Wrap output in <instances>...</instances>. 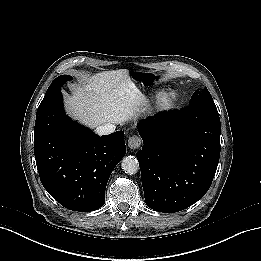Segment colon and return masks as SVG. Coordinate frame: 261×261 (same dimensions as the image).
<instances>
[{
	"mask_svg": "<svg viewBox=\"0 0 261 261\" xmlns=\"http://www.w3.org/2000/svg\"><path fill=\"white\" fill-rule=\"evenodd\" d=\"M142 78H143V80H145V81L153 80V76L150 75V74H143Z\"/></svg>",
	"mask_w": 261,
	"mask_h": 261,
	"instance_id": "1",
	"label": "colon"
}]
</instances>
